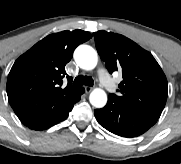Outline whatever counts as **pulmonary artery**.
Here are the masks:
<instances>
[{
    "instance_id": "pulmonary-artery-1",
    "label": "pulmonary artery",
    "mask_w": 181,
    "mask_h": 164,
    "mask_svg": "<svg viewBox=\"0 0 181 164\" xmlns=\"http://www.w3.org/2000/svg\"><path fill=\"white\" fill-rule=\"evenodd\" d=\"M98 75H99L100 79L103 81V85H104L106 88H108L109 86L105 83V76H106L105 72H104V71H100V72L98 73Z\"/></svg>"
}]
</instances>
